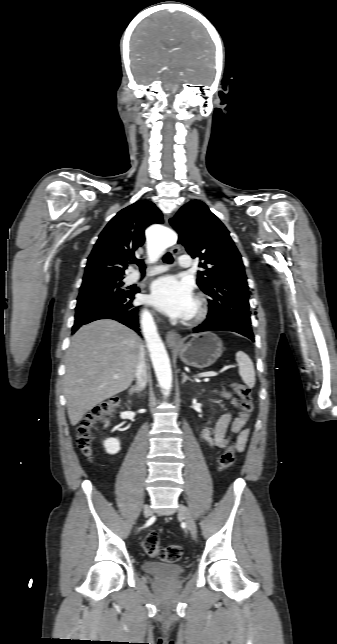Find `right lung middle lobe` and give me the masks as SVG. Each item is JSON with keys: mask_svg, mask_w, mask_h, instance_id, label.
Here are the masks:
<instances>
[{"mask_svg": "<svg viewBox=\"0 0 337 644\" xmlns=\"http://www.w3.org/2000/svg\"><path fill=\"white\" fill-rule=\"evenodd\" d=\"M123 278H95L83 281L77 298L76 310L116 302L126 298L132 290L122 288Z\"/></svg>", "mask_w": 337, "mask_h": 644, "instance_id": "right-lung-middle-lobe-1", "label": "right lung middle lobe"}]
</instances>
